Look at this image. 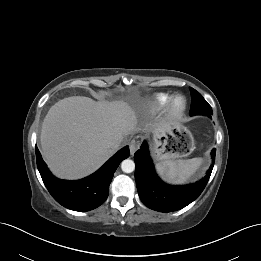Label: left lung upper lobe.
<instances>
[{
  "instance_id": "left-lung-upper-lobe-1",
  "label": "left lung upper lobe",
  "mask_w": 261,
  "mask_h": 261,
  "mask_svg": "<svg viewBox=\"0 0 261 261\" xmlns=\"http://www.w3.org/2000/svg\"><path fill=\"white\" fill-rule=\"evenodd\" d=\"M191 91V109L189 114L190 115H206L211 117L212 108L211 106L205 101L202 95L193 88H190Z\"/></svg>"
}]
</instances>
